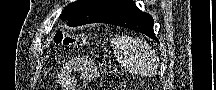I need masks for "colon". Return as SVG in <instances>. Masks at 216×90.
<instances>
[{
    "label": "colon",
    "mask_w": 216,
    "mask_h": 90,
    "mask_svg": "<svg viewBox=\"0 0 216 90\" xmlns=\"http://www.w3.org/2000/svg\"><path fill=\"white\" fill-rule=\"evenodd\" d=\"M56 43L63 45V46H72L76 44H80L81 39L78 36L70 35L64 32L57 33L55 37Z\"/></svg>",
    "instance_id": "colon-1"
}]
</instances>
